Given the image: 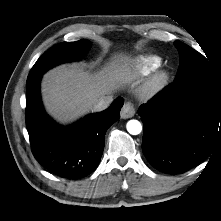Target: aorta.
<instances>
[{
    "instance_id": "aorta-1",
    "label": "aorta",
    "mask_w": 221,
    "mask_h": 221,
    "mask_svg": "<svg viewBox=\"0 0 221 221\" xmlns=\"http://www.w3.org/2000/svg\"><path fill=\"white\" fill-rule=\"evenodd\" d=\"M126 128L131 135H138L142 131V125L138 120L128 121Z\"/></svg>"
}]
</instances>
